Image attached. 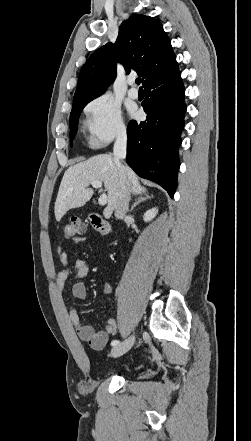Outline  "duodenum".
Returning a JSON list of instances; mask_svg holds the SVG:
<instances>
[{
  "mask_svg": "<svg viewBox=\"0 0 251 441\" xmlns=\"http://www.w3.org/2000/svg\"><path fill=\"white\" fill-rule=\"evenodd\" d=\"M92 226L101 234H107L110 231L108 222L97 213H91L89 216Z\"/></svg>",
  "mask_w": 251,
  "mask_h": 441,
  "instance_id": "obj_1",
  "label": "duodenum"
}]
</instances>
